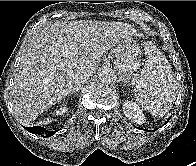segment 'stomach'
I'll list each match as a JSON object with an SVG mask.
<instances>
[{
    "mask_svg": "<svg viewBox=\"0 0 196 166\" xmlns=\"http://www.w3.org/2000/svg\"><path fill=\"white\" fill-rule=\"evenodd\" d=\"M115 56L126 65H134L141 59L142 51L137 41L132 37H127L117 43Z\"/></svg>",
    "mask_w": 196,
    "mask_h": 166,
    "instance_id": "obj_1",
    "label": "stomach"
}]
</instances>
